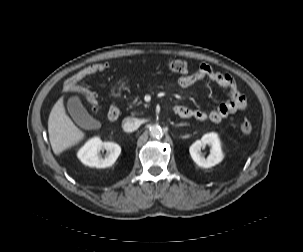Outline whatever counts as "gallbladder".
I'll return each mask as SVG.
<instances>
[{
	"mask_svg": "<svg viewBox=\"0 0 303 252\" xmlns=\"http://www.w3.org/2000/svg\"><path fill=\"white\" fill-rule=\"evenodd\" d=\"M68 111L77 125L82 128H88L90 126L93 119L82 105L78 96L69 98Z\"/></svg>",
	"mask_w": 303,
	"mask_h": 252,
	"instance_id": "gallbladder-1",
	"label": "gallbladder"
}]
</instances>
